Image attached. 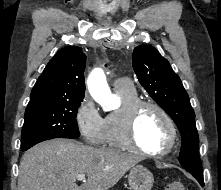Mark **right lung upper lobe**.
I'll use <instances>...</instances> for the list:
<instances>
[{
	"label": "right lung upper lobe",
	"mask_w": 221,
	"mask_h": 190,
	"mask_svg": "<svg viewBox=\"0 0 221 190\" xmlns=\"http://www.w3.org/2000/svg\"><path fill=\"white\" fill-rule=\"evenodd\" d=\"M86 55L77 46L59 50L31 92L28 106L47 102H82L85 95Z\"/></svg>",
	"instance_id": "obj_1"
}]
</instances>
